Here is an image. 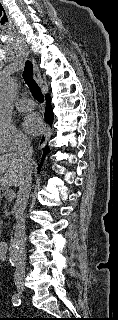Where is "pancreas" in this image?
Wrapping results in <instances>:
<instances>
[{
  "label": "pancreas",
  "mask_w": 118,
  "mask_h": 320,
  "mask_svg": "<svg viewBox=\"0 0 118 320\" xmlns=\"http://www.w3.org/2000/svg\"><path fill=\"white\" fill-rule=\"evenodd\" d=\"M1 201H2V197L0 196V205H1ZM8 216V211L7 209L5 208L4 209V217ZM2 233V222L0 221V235Z\"/></svg>",
  "instance_id": "pancreas-1"
}]
</instances>
